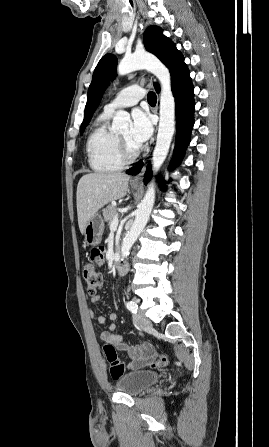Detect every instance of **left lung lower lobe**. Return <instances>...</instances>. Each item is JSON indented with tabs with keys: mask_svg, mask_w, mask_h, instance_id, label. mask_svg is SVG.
<instances>
[{
	"mask_svg": "<svg viewBox=\"0 0 269 447\" xmlns=\"http://www.w3.org/2000/svg\"><path fill=\"white\" fill-rule=\"evenodd\" d=\"M171 73V86L172 92L175 97L176 103V142L172 161L170 163V169L176 167L180 164L186 147L190 142V134L192 127L194 125V87L190 78L189 70L184 63V57L180 55L176 62L174 63ZM159 86L156 91L159 92ZM143 166V163H139L136 166L128 169L127 174L135 175L139 173ZM145 184L151 178V166H147V171L145 173ZM163 189L165 186L162 187Z\"/></svg>",
	"mask_w": 269,
	"mask_h": 447,
	"instance_id": "left-lung-lower-lobe-1",
	"label": "left lung lower lobe"
}]
</instances>
